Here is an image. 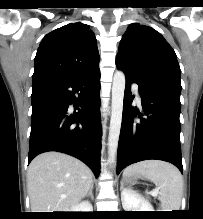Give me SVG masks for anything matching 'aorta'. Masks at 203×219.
I'll list each match as a JSON object with an SVG mask.
<instances>
[{
  "instance_id": "obj_1",
  "label": "aorta",
  "mask_w": 203,
  "mask_h": 219,
  "mask_svg": "<svg viewBox=\"0 0 203 219\" xmlns=\"http://www.w3.org/2000/svg\"><path fill=\"white\" fill-rule=\"evenodd\" d=\"M125 91V74L116 71L112 85V113L108 136V154L110 163H114L122 122L123 99Z\"/></svg>"
}]
</instances>
